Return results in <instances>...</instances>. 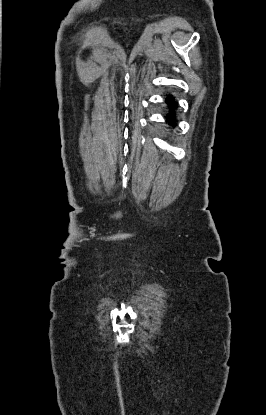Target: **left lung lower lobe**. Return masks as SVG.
I'll return each instance as SVG.
<instances>
[{"mask_svg": "<svg viewBox=\"0 0 266 415\" xmlns=\"http://www.w3.org/2000/svg\"><path fill=\"white\" fill-rule=\"evenodd\" d=\"M165 103L167 104L168 109H169V113L167 114L166 119L168 120L169 125H175L176 123L175 113L177 109V103L175 101L174 96L172 94H168L166 96Z\"/></svg>", "mask_w": 266, "mask_h": 415, "instance_id": "obj_1", "label": "left lung lower lobe"}]
</instances>
